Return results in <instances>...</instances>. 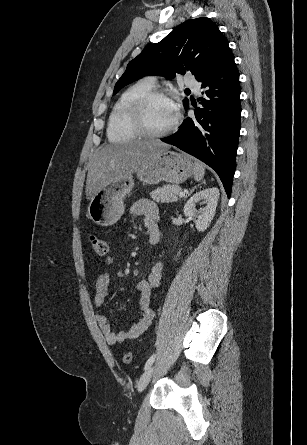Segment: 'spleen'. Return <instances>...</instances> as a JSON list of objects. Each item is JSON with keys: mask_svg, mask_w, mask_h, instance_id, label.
<instances>
[{"mask_svg": "<svg viewBox=\"0 0 307 445\" xmlns=\"http://www.w3.org/2000/svg\"><path fill=\"white\" fill-rule=\"evenodd\" d=\"M193 174H194L195 180H202V178L205 174V168H204V164H202V162H194Z\"/></svg>", "mask_w": 307, "mask_h": 445, "instance_id": "3e777b00", "label": "spleen"}]
</instances>
